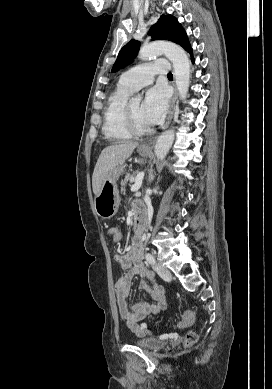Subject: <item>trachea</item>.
Returning a JSON list of instances; mask_svg holds the SVG:
<instances>
[{
	"label": "trachea",
	"instance_id": "trachea-1",
	"mask_svg": "<svg viewBox=\"0 0 272 389\" xmlns=\"http://www.w3.org/2000/svg\"><path fill=\"white\" fill-rule=\"evenodd\" d=\"M167 77L173 78L172 73H168V74H167Z\"/></svg>",
	"mask_w": 272,
	"mask_h": 389
}]
</instances>
